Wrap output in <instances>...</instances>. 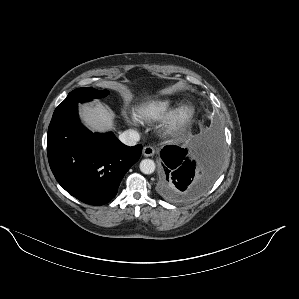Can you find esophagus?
Wrapping results in <instances>:
<instances>
[{
  "instance_id": "34e87169",
  "label": "esophagus",
  "mask_w": 299,
  "mask_h": 299,
  "mask_svg": "<svg viewBox=\"0 0 299 299\" xmlns=\"http://www.w3.org/2000/svg\"><path fill=\"white\" fill-rule=\"evenodd\" d=\"M155 154V149L152 146H145L143 148V155L145 157H151Z\"/></svg>"
}]
</instances>
